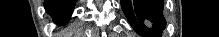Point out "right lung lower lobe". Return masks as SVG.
Wrapping results in <instances>:
<instances>
[{
  "label": "right lung lower lobe",
  "instance_id": "obj_1",
  "mask_svg": "<svg viewBox=\"0 0 219 37\" xmlns=\"http://www.w3.org/2000/svg\"><path fill=\"white\" fill-rule=\"evenodd\" d=\"M73 0H46V10L54 17L55 21L64 23L70 16L74 7Z\"/></svg>",
  "mask_w": 219,
  "mask_h": 37
}]
</instances>
